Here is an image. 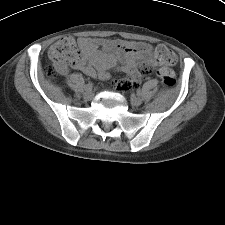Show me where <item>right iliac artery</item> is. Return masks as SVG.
Here are the masks:
<instances>
[{"mask_svg": "<svg viewBox=\"0 0 225 225\" xmlns=\"http://www.w3.org/2000/svg\"><path fill=\"white\" fill-rule=\"evenodd\" d=\"M92 87H93V84L89 82L88 84L85 85V90L92 89Z\"/></svg>", "mask_w": 225, "mask_h": 225, "instance_id": "obj_1", "label": "right iliac artery"}]
</instances>
